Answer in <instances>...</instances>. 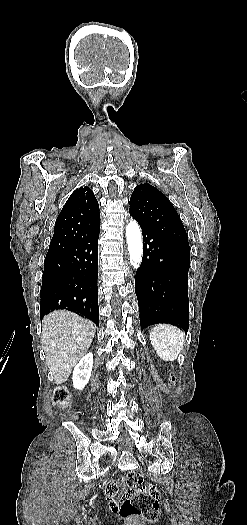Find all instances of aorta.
Wrapping results in <instances>:
<instances>
[{
    "label": "aorta",
    "instance_id": "762f6f07",
    "mask_svg": "<svg viewBox=\"0 0 247 525\" xmlns=\"http://www.w3.org/2000/svg\"><path fill=\"white\" fill-rule=\"evenodd\" d=\"M126 240L130 263L134 267H139L142 261V233L136 221H130L126 226Z\"/></svg>",
    "mask_w": 247,
    "mask_h": 525
}]
</instances>
